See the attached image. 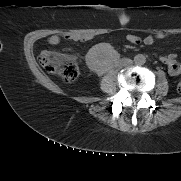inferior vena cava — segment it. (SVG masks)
<instances>
[{"instance_id":"inferior-vena-cava-1","label":"inferior vena cava","mask_w":181,"mask_h":181,"mask_svg":"<svg viewBox=\"0 0 181 181\" xmlns=\"http://www.w3.org/2000/svg\"><path fill=\"white\" fill-rule=\"evenodd\" d=\"M121 63H122V65H129V64H131L132 63V60L131 59H129V58H123L122 60H121Z\"/></svg>"}]
</instances>
